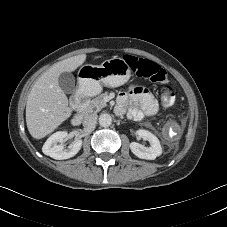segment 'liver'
Returning <instances> with one entry per match:
<instances>
[{"label": "liver", "instance_id": "obj_1", "mask_svg": "<svg viewBox=\"0 0 227 227\" xmlns=\"http://www.w3.org/2000/svg\"><path fill=\"white\" fill-rule=\"evenodd\" d=\"M85 60L86 55L81 54L57 62L33 85L26 104V124L33 138H44L71 116L68 98L58 78L61 73L75 71Z\"/></svg>", "mask_w": 227, "mask_h": 227}]
</instances>
